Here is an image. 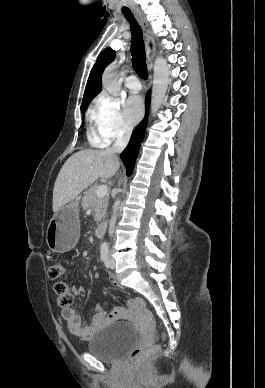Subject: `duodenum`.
<instances>
[{
	"mask_svg": "<svg viewBox=\"0 0 265 388\" xmlns=\"http://www.w3.org/2000/svg\"><path fill=\"white\" fill-rule=\"evenodd\" d=\"M106 227H107V225H106L105 222L99 223L98 226L95 229L96 236L99 237V238L103 237L104 234H105V231H106Z\"/></svg>",
	"mask_w": 265,
	"mask_h": 388,
	"instance_id": "obj_1",
	"label": "duodenum"
}]
</instances>
